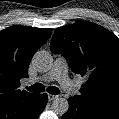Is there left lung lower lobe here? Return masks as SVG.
<instances>
[{
    "instance_id": "left-lung-lower-lobe-1",
    "label": "left lung lower lobe",
    "mask_w": 119,
    "mask_h": 119,
    "mask_svg": "<svg viewBox=\"0 0 119 119\" xmlns=\"http://www.w3.org/2000/svg\"><path fill=\"white\" fill-rule=\"evenodd\" d=\"M69 109L62 119H119V114L98 109L76 97L68 99Z\"/></svg>"
}]
</instances>
